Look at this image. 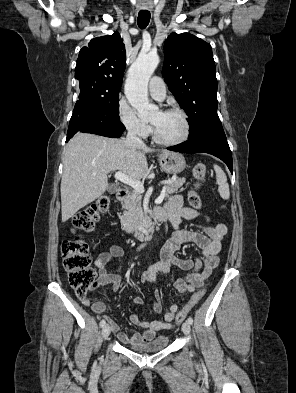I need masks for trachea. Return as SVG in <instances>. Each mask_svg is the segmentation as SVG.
Instances as JSON below:
<instances>
[{
    "label": "trachea",
    "mask_w": 296,
    "mask_h": 393,
    "mask_svg": "<svg viewBox=\"0 0 296 393\" xmlns=\"http://www.w3.org/2000/svg\"><path fill=\"white\" fill-rule=\"evenodd\" d=\"M150 12L141 11L138 14V26L140 29H145L150 22Z\"/></svg>",
    "instance_id": "3493384b"
}]
</instances>
